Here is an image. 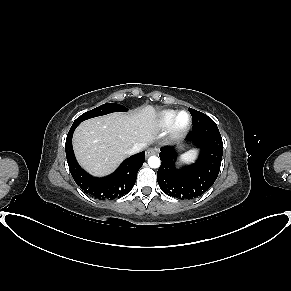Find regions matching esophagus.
<instances>
[{
    "mask_svg": "<svg viewBox=\"0 0 291 291\" xmlns=\"http://www.w3.org/2000/svg\"><path fill=\"white\" fill-rule=\"evenodd\" d=\"M157 149L156 148H149L147 151H146V156L149 157L151 155H155L157 154Z\"/></svg>",
    "mask_w": 291,
    "mask_h": 291,
    "instance_id": "esophagus-1",
    "label": "esophagus"
}]
</instances>
